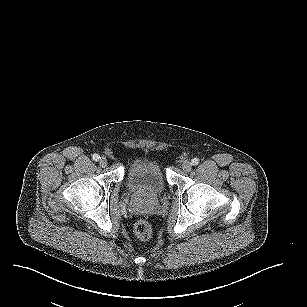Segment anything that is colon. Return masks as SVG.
I'll use <instances>...</instances> for the list:
<instances>
[{
    "instance_id": "obj_1",
    "label": "colon",
    "mask_w": 307,
    "mask_h": 307,
    "mask_svg": "<svg viewBox=\"0 0 307 307\" xmlns=\"http://www.w3.org/2000/svg\"><path fill=\"white\" fill-rule=\"evenodd\" d=\"M133 231L141 241H148L152 237V226L146 219H138L133 226Z\"/></svg>"
}]
</instances>
